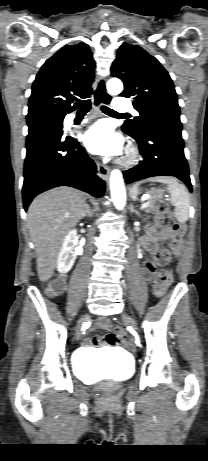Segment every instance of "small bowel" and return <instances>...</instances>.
Wrapping results in <instances>:
<instances>
[{"mask_svg": "<svg viewBox=\"0 0 208 461\" xmlns=\"http://www.w3.org/2000/svg\"><path fill=\"white\" fill-rule=\"evenodd\" d=\"M169 237V232L159 231L153 226H149L147 234L142 238V245L150 252L157 253L159 250L158 241L166 240ZM144 274L147 277H152L155 274L156 268L154 266H149L147 263L144 266ZM55 282H61L64 284V277H59ZM110 323L108 320H101L96 325V329H109ZM85 344L93 343L94 345H101L107 343L106 348L108 351H118L119 345L121 343V336H118L116 332H108L107 336L104 338L97 337L93 341L85 340Z\"/></svg>", "mask_w": 208, "mask_h": 461, "instance_id": "1", "label": "small bowel"}]
</instances>
